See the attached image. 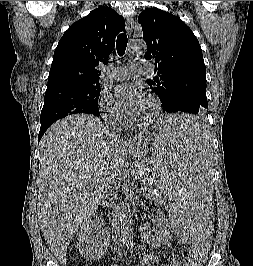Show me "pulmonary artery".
Here are the masks:
<instances>
[{"mask_svg":"<svg viewBox=\"0 0 253 266\" xmlns=\"http://www.w3.org/2000/svg\"><path fill=\"white\" fill-rule=\"evenodd\" d=\"M146 61H136L130 66L115 67L110 69V76L115 80H127L134 74H139L145 70H149Z\"/></svg>","mask_w":253,"mask_h":266,"instance_id":"e3ab8cb5","label":"pulmonary artery"}]
</instances>
